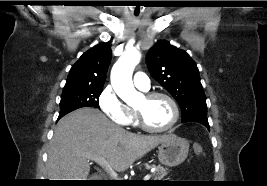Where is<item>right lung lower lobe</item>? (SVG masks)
I'll return each instance as SVG.
<instances>
[{"instance_id": "98d812e1", "label": "right lung lower lobe", "mask_w": 267, "mask_h": 186, "mask_svg": "<svg viewBox=\"0 0 267 186\" xmlns=\"http://www.w3.org/2000/svg\"><path fill=\"white\" fill-rule=\"evenodd\" d=\"M62 116H64V115H59L58 120H59Z\"/></svg>"}]
</instances>
